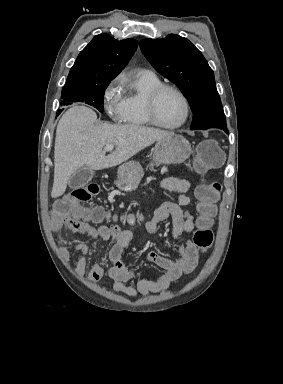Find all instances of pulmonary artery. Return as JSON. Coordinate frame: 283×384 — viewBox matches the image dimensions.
<instances>
[{"label": "pulmonary artery", "instance_id": "pulmonary-artery-1", "mask_svg": "<svg viewBox=\"0 0 283 384\" xmlns=\"http://www.w3.org/2000/svg\"><path fill=\"white\" fill-rule=\"evenodd\" d=\"M143 72H144V73L151 74V75H154L152 72H150V71H148V70H144Z\"/></svg>", "mask_w": 283, "mask_h": 384}]
</instances>
